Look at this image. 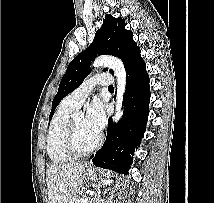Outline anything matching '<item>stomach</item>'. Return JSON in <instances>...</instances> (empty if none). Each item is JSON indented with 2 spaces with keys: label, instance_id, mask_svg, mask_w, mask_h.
<instances>
[{
  "label": "stomach",
  "instance_id": "stomach-1",
  "mask_svg": "<svg viewBox=\"0 0 214 203\" xmlns=\"http://www.w3.org/2000/svg\"><path fill=\"white\" fill-rule=\"evenodd\" d=\"M85 177L89 180H94L97 178L96 170L94 168H88L85 171Z\"/></svg>",
  "mask_w": 214,
  "mask_h": 203
}]
</instances>
